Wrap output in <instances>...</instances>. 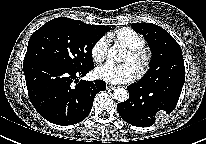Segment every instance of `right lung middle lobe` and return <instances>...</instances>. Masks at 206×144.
<instances>
[{
	"label": "right lung middle lobe",
	"instance_id": "right-lung-middle-lobe-1",
	"mask_svg": "<svg viewBox=\"0 0 206 144\" xmlns=\"http://www.w3.org/2000/svg\"><path fill=\"white\" fill-rule=\"evenodd\" d=\"M104 34L78 20L55 18L32 34L24 63L47 61L73 70L92 67V49Z\"/></svg>",
	"mask_w": 206,
	"mask_h": 144
}]
</instances>
